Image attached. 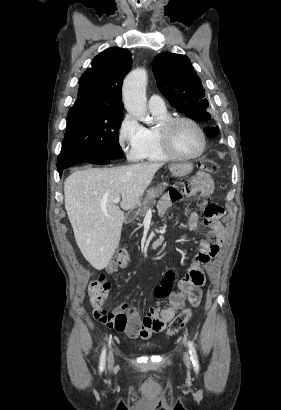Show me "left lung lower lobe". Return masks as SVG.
<instances>
[{"mask_svg":"<svg viewBox=\"0 0 281 410\" xmlns=\"http://www.w3.org/2000/svg\"><path fill=\"white\" fill-rule=\"evenodd\" d=\"M212 131V129L211 128H209V129H205V132H206V134L208 135V137H210L211 138V136H210V132Z\"/></svg>","mask_w":281,"mask_h":410,"instance_id":"left-lung-lower-lobe-1","label":"left lung lower lobe"}]
</instances>
